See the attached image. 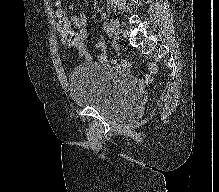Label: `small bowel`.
Wrapping results in <instances>:
<instances>
[{
    "instance_id": "small-bowel-1",
    "label": "small bowel",
    "mask_w": 219,
    "mask_h": 192,
    "mask_svg": "<svg viewBox=\"0 0 219 192\" xmlns=\"http://www.w3.org/2000/svg\"><path fill=\"white\" fill-rule=\"evenodd\" d=\"M58 19L63 18V11H58ZM68 28L66 30L59 29L61 33V40L63 44L70 49L78 51L80 57L85 61H91V57L85 46V40L87 37L86 24L87 14L80 13L79 15H73L70 20L66 18ZM71 25L73 27H71ZM96 48L99 51L97 62L105 63L107 61L106 55V43L103 37H99L96 41ZM126 69H129L127 64H124ZM157 65L152 63L149 65L148 71L145 75L144 81L151 82L157 74Z\"/></svg>"
}]
</instances>
